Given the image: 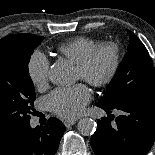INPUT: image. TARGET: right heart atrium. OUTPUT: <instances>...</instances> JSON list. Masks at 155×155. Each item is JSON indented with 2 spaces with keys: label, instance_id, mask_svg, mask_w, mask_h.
Instances as JSON below:
<instances>
[{
  "label": "right heart atrium",
  "instance_id": "obj_1",
  "mask_svg": "<svg viewBox=\"0 0 155 155\" xmlns=\"http://www.w3.org/2000/svg\"><path fill=\"white\" fill-rule=\"evenodd\" d=\"M49 60L41 52L35 51L29 58L27 73L33 86L37 89L46 87L49 77Z\"/></svg>",
  "mask_w": 155,
  "mask_h": 155
}]
</instances>
